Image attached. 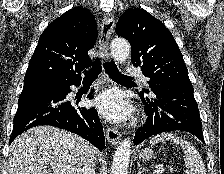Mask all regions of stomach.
Wrapping results in <instances>:
<instances>
[{
	"label": "stomach",
	"instance_id": "0dacf381",
	"mask_svg": "<svg viewBox=\"0 0 224 174\" xmlns=\"http://www.w3.org/2000/svg\"><path fill=\"white\" fill-rule=\"evenodd\" d=\"M138 157L142 161H149L150 159H152L154 157V152L152 149L145 148V149L139 151Z\"/></svg>",
	"mask_w": 224,
	"mask_h": 174
}]
</instances>
